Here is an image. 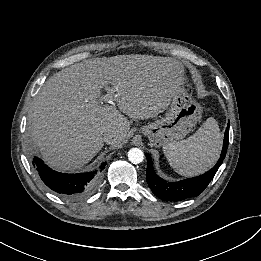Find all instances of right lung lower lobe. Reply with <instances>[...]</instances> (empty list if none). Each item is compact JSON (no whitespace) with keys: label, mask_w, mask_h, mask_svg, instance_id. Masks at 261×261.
<instances>
[{"label":"right lung lower lobe","mask_w":261,"mask_h":261,"mask_svg":"<svg viewBox=\"0 0 261 261\" xmlns=\"http://www.w3.org/2000/svg\"><path fill=\"white\" fill-rule=\"evenodd\" d=\"M32 164L46 186L70 200L80 199L92 193L98 181V172L106 165L103 163L99 170L89 173L65 174L52 170L38 157L33 158Z\"/></svg>","instance_id":"98d812e1"}]
</instances>
